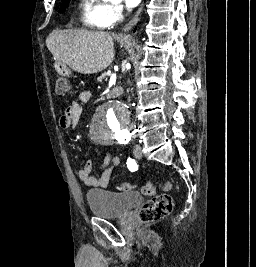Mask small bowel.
Returning <instances> with one entry per match:
<instances>
[{"instance_id": "c3829d8e", "label": "small bowel", "mask_w": 256, "mask_h": 267, "mask_svg": "<svg viewBox=\"0 0 256 267\" xmlns=\"http://www.w3.org/2000/svg\"><path fill=\"white\" fill-rule=\"evenodd\" d=\"M91 99V92L84 90L79 94V101L86 103ZM81 107L78 102H73L69 105L64 114L61 116L59 123L62 128H69L75 126L81 116ZM120 159L108 153L105 157L101 173L99 176H93V164L90 160H87L84 166L77 170L78 178L88 187L104 188L108 185L114 170L119 166Z\"/></svg>"}]
</instances>
